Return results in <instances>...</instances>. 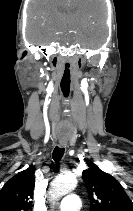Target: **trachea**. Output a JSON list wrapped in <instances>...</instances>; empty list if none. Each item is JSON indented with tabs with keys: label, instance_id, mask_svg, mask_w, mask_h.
<instances>
[{
	"label": "trachea",
	"instance_id": "trachea-1",
	"mask_svg": "<svg viewBox=\"0 0 133 211\" xmlns=\"http://www.w3.org/2000/svg\"><path fill=\"white\" fill-rule=\"evenodd\" d=\"M63 154H64V148H60V147L56 146L53 151L52 156H53V159L56 162H58L62 158Z\"/></svg>",
	"mask_w": 133,
	"mask_h": 211
}]
</instances>
